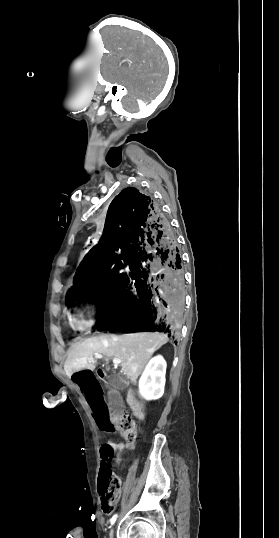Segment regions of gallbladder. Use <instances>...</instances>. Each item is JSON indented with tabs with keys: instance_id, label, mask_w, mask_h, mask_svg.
Returning a JSON list of instances; mask_svg holds the SVG:
<instances>
[{
	"instance_id": "obj_1",
	"label": "gallbladder",
	"mask_w": 279,
	"mask_h": 538,
	"mask_svg": "<svg viewBox=\"0 0 279 538\" xmlns=\"http://www.w3.org/2000/svg\"><path fill=\"white\" fill-rule=\"evenodd\" d=\"M108 382L112 388H116V390H118L119 387H126L128 385V378L126 376H122V374H112V376H108ZM109 403L112 405L114 410H123L125 408V401L120 399V396L116 392L110 393ZM118 414H121V411H118ZM110 420L116 421L117 415L111 414Z\"/></svg>"
}]
</instances>
